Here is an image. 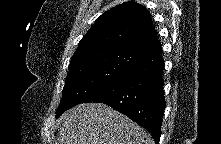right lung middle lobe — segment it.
Wrapping results in <instances>:
<instances>
[{
	"instance_id": "dd1d6c3e",
	"label": "right lung middle lobe",
	"mask_w": 221,
	"mask_h": 144,
	"mask_svg": "<svg viewBox=\"0 0 221 144\" xmlns=\"http://www.w3.org/2000/svg\"><path fill=\"white\" fill-rule=\"evenodd\" d=\"M142 58L134 53L112 50L88 55L70 63L56 117L84 103L93 93L118 79Z\"/></svg>"
}]
</instances>
